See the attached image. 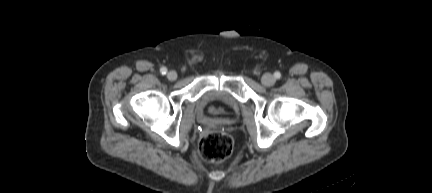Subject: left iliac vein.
Instances as JSON below:
<instances>
[{"label": "left iliac vein", "instance_id": "left-iliac-vein-1", "mask_svg": "<svg viewBox=\"0 0 432 193\" xmlns=\"http://www.w3.org/2000/svg\"><path fill=\"white\" fill-rule=\"evenodd\" d=\"M261 81L264 86H272L275 83V78L272 74L266 73L262 76Z\"/></svg>", "mask_w": 432, "mask_h": 193}]
</instances>
